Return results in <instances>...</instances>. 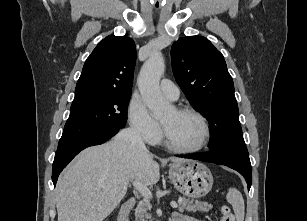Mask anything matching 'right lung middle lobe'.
I'll list each match as a JSON object with an SVG mask.
<instances>
[{
	"instance_id": "right-lung-middle-lobe-1",
	"label": "right lung middle lobe",
	"mask_w": 307,
	"mask_h": 221,
	"mask_svg": "<svg viewBox=\"0 0 307 221\" xmlns=\"http://www.w3.org/2000/svg\"><path fill=\"white\" fill-rule=\"evenodd\" d=\"M131 93H112L73 102L58 146L124 128Z\"/></svg>"
}]
</instances>
